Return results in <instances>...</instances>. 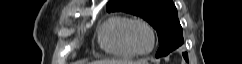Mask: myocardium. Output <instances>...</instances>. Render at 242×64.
I'll list each match as a JSON object with an SVG mask.
<instances>
[{
  "mask_svg": "<svg viewBox=\"0 0 242 64\" xmlns=\"http://www.w3.org/2000/svg\"><path fill=\"white\" fill-rule=\"evenodd\" d=\"M137 24H142L145 27H147V29L150 31V34H151V37H152V46H151V48L149 50H147V51H144V52L139 51L135 47V45H134V43L132 41V37H131V31H132L133 27L135 25H137ZM125 39H126V42H127L128 46H129V48L136 55H140V56H145V55L150 54L154 50V48L156 46V42H157V36H156V31H155L154 27L152 26V24L150 22H148L147 20H145L143 18H135V19H132L129 22V24H128L126 30H125Z\"/></svg>",
  "mask_w": 242,
  "mask_h": 64,
  "instance_id": "1",
  "label": "myocardium"
}]
</instances>
